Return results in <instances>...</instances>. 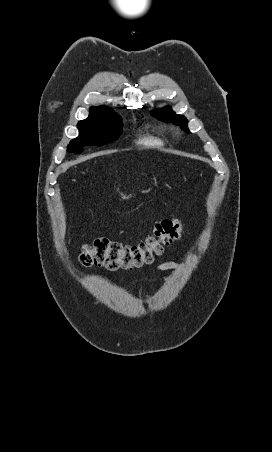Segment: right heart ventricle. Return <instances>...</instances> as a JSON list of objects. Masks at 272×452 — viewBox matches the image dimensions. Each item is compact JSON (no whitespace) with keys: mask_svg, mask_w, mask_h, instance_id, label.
<instances>
[{"mask_svg":"<svg viewBox=\"0 0 272 452\" xmlns=\"http://www.w3.org/2000/svg\"><path fill=\"white\" fill-rule=\"evenodd\" d=\"M138 143L146 147H161L164 145V140L153 134H145L139 139Z\"/></svg>","mask_w":272,"mask_h":452,"instance_id":"e07e8e85","label":"right heart ventricle"}]
</instances>
